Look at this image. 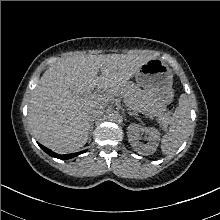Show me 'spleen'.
<instances>
[{
  "mask_svg": "<svg viewBox=\"0 0 220 220\" xmlns=\"http://www.w3.org/2000/svg\"><path fill=\"white\" fill-rule=\"evenodd\" d=\"M169 124V132L161 139V150L166 155L175 153L189 133L190 107L185 94L180 96L179 106L170 118Z\"/></svg>",
  "mask_w": 220,
  "mask_h": 220,
  "instance_id": "3e777b00",
  "label": "spleen"
}]
</instances>
